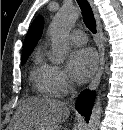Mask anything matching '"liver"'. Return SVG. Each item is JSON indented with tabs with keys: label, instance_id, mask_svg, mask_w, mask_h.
<instances>
[{
	"label": "liver",
	"instance_id": "liver-1",
	"mask_svg": "<svg viewBox=\"0 0 123 130\" xmlns=\"http://www.w3.org/2000/svg\"><path fill=\"white\" fill-rule=\"evenodd\" d=\"M70 114L66 103L52 98L29 97L21 101L8 130H60Z\"/></svg>",
	"mask_w": 123,
	"mask_h": 130
}]
</instances>
